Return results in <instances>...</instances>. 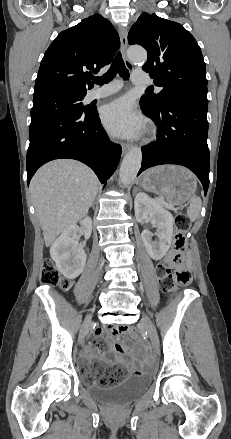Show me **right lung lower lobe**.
<instances>
[{
  "label": "right lung lower lobe",
  "mask_w": 231,
  "mask_h": 439,
  "mask_svg": "<svg viewBox=\"0 0 231 439\" xmlns=\"http://www.w3.org/2000/svg\"><path fill=\"white\" fill-rule=\"evenodd\" d=\"M29 140L28 184L40 166L59 158L85 163L105 184L115 171L122 151L119 144L109 140L95 107L31 123Z\"/></svg>",
  "instance_id": "98d812e1"
}]
</instances>
